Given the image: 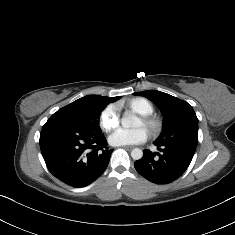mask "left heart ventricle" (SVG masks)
I'll return each instance as SVG.
<instances>
[{"label": "left heart ventricle", "mask_w": 235, "mask_h": 235, "mask_svg": "<svg viewBox=\"0 0 235 235\" xmlns=\"http://www.w3.org/2000/svg\"><path fill=\"white\" fill-rule=\"evenodd\" d=\"M140 126H142V122H141V120L139 119V122H138L137 127H140Z\"/></svg>", "instance_id": "left-heart-ventricle-1"}]
</instances>
